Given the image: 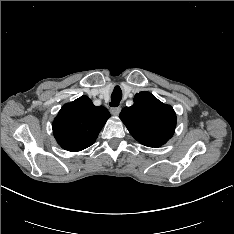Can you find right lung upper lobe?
I'll return each mask as SVG.
<instances>
[{
    "instance_id": "1",
    "label": "right lung upper lobe",
    "mask_w": 234,
    "mask_h": 234,
    "mask_svg": "<svg viewBox=\"0 0 234 234\" xmlns=\"http://www.w3.org/2000/svg\"><path fill=\"white\" fill-rule=\"evenodd\" d=\"M109 117L105 107H96L90 98L81 96L61 108L52 125L53 134L63 149L81 151L96 141Z\"/></svg>"
}]
</instances>
